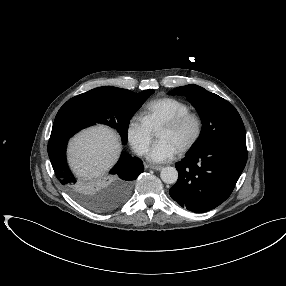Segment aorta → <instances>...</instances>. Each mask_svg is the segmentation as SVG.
I'll return each mask as SVG.
<instances>
[{
	"label": "aorta",
	"mask_w": 286,
	"mask_h": 286,
	"mask_svg": "<svg viewBox=\"0 0 286 286\" xmlns=\"http://www.w3.org/2000/svg\"><path fill=\"white\" fill-rule=\"evenodd\" d=\"M160 177L164 183L174 184L178 179V171L174 167H165L160 173Z\"/></svg>",
	"instance_id": "1"
}]
</instances>
